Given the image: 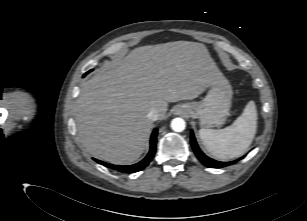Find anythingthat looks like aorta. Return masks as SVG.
<instances>
[{"mask_svg":"<svg viewBox=\"0 0 307 221\" xmlns=\"http://www.w3.org/2000/svg\"><path fill=\"white\" fill-rule=\"evenodd\" d=\"M186 127V123L182 118H174L171 121V128L175 132H182Z\"/></svg>","mask_w":307,"mask_h":221,"instance_id":"762f6f07","label":"aorta"}]
</instances>
